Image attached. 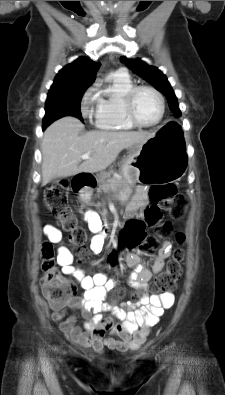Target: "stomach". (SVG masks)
Returning <instances> with one entry per match:
<instances>
[{"instance_id":"stomach-1","label":"stomach","mask_w":225,"mask_h":395,"mask_svg":"<svg viewBox=\"0 0 225 395\" xmlns=\"http://www.w3.org/2000/svg\"><path fill=\"white\" fill-rule=\"evenodd\" d=\"M155 134L143 144L132 149L122 166V175L127 187L120 193V199L126 201L131 193L130 186L136 183L154 184L179 180L183 174V166L176 161L173 154L159 143ZM171 154V155H170ZM90 192H84L82 198L90 199Z\"/></svg>"}]
</instances>
